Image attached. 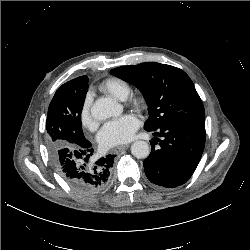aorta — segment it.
Masks as SVG:
<instances>
[{"label": "aorta", "instance_id": "obj_1", "mask_svg": "<svg viewBox=\"0 0 250 250\" xmlns=\"http://www.w3.org/2000/svg\"><path fill=\"white\" fill-rule=\"evenodd\" d=\"M121 111L120 105L112 98H99L91 107V115L97 120H105L111 116L118 115ZM131 153L136 158H146L150 153L147 142L138 140L131 145Z\"/></svg>", "mask_w": 250, "mask_h": 250}]
</instances>
